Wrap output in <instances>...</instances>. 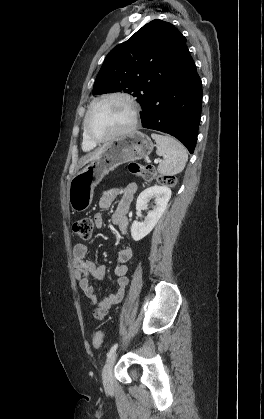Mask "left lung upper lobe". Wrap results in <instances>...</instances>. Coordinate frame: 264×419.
Instances as JSON below:
<instances>
[{"label":"left lung upper lobe","mask_w":264,"mask_h":419,"mask_svg":"<svg viewBox=\"0 0 264 419\" xmlns=\"http://www.w3.org/2000/svg\"><path fill=\"white\" fill-rule=\"evenodd\" d=\"M183 35L172 24L153 20L106 56L93 94L124 91L143 107L152 85L172 72L177 45Z\"/></svg>","instance_id":"obj_1"}]
</instances>
